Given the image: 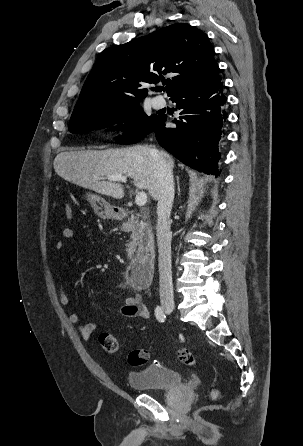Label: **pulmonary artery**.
I'll return each instance as SVG.
<instances>
[{
    "instance_id": "e3ab8cb5",
    "label": "pulmonary artery",
    "mask_w": 303,
    "mask_h": 446,
    "mask_svg": "<svg viewBox=\"0 0 303 446\" xmlns=\"http://www.w3.org/2000/svg\"><path fill=\"white\" fill-rule=\"evenodd\" d=\"M152 104L155 108L160 109L166 105V102L162 97L157 96L152 100Z\"/></svg>"
}]
</instances>
